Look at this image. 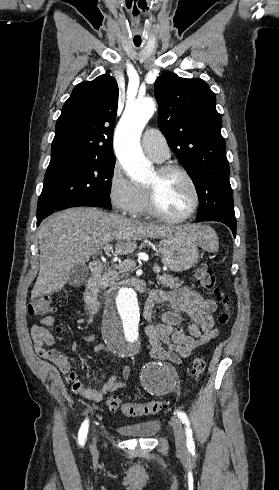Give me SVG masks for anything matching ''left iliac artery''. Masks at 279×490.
I'll return each mask as SVG.
<instances>
[{
	"label": "left iliac artery",
	"instance_id": "1",
	"mask_svg": "<svg viewBox=\"0 0 279 490\" xmlns=\"http://www.w3.org/2000/svg\"><path fill=\"white\" fill-rule=\"evenodd\" d=\"M177 415H178L179 419L182 421V423H184L186 425L187 447L189 450H194L195 444H194L193 437H192V430L190 429V426H189V420H188L186 414L182 411H177Z\"/></svg>",
	"mask_w": 279,
	"mask_h": 490
}]
</instances>
